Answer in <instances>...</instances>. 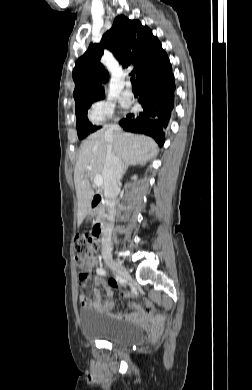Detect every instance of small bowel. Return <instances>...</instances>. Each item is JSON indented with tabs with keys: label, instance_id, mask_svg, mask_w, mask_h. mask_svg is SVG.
Here are the masks:
<instances>
[{
	"label": "small bowel",
	"instance_id": "c3829d8e",
	"mask_svg": "<svg viewBox=\"0 0 252 390\" xmlns=\"http://www.w3.org/2000/svg\"><path fill=\"white\" fill-rule=\"evenodd\" d=\"M98 263H99L98 259L96 257H92L82 267H80V269L82 272H89L93 267L97 266ZM87 280L90 281L91 278L88 277ZM94 285L96 288L104 289L109 299L103 302L100 300L92 301L88 299L85 295L81 294L80 303L83 307L93 308L97 312L101 314H106L111 318L117 320H126V321L139 322L143 324H149L150 329L153 333H159L162 331L163 329L162 319L158 318L155 315L156 307L149 299H146V308L135 303H129V307L133 309L132 314L125 315L120 312L113 313L112 308L114 306V302L112 300L113 297L112 289L118 286L117 282L115 280H110L109 282H106L103 279L102 275L98 274L94 278ZM122 296L127 297L129 296V293L127 291H122Z\"/></svg>",
	"mask_w": 252,
	"mask_h": 390
}]
</instances>
